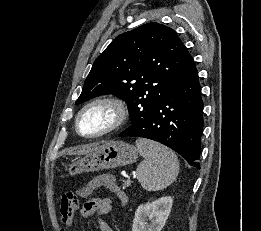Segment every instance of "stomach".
<instances>
[{
  "label": "stomach",
  "instance_id": "1",
  "mask_svg": "<svg viewBox=\"0 0 261 231\" xmlns=\"http://www.w3.org/2000/svg\"><path fill=\"white\" fill-rule=\"evenodd\" d=\"M138 149L123 141H111L97 151L77 158L68 165L67 171L70 176L83 172H94L104 169H112L126 166L136 161Z\"/></svg>",
  "mask_w": 261,
  "mask_h": 231
}]
</instances>
